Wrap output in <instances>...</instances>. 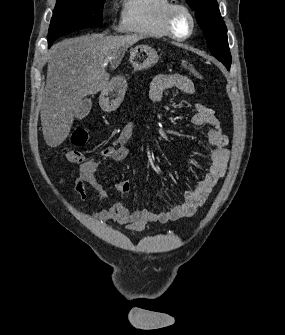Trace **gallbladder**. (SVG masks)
Returning a JSON list of instances; mask_svg holds the SVG:
<instances>
[{
    "mask_svg": "<svg viewBox=\"0 0 285 335\" xmlns=\"http://www.w3.org/2000/svg\"><path fill=\"white\" fill-rule=\"evenodd\" d=\"M91 108H92V102L90 98H85V100H82L81 104H79L78 110L75 114V118H79V120H82V118H86Z\"/></svg>",
    "mask_w": 285,
    "mask_h": 335,
    "instance_id": "obj_1",
    "label": "gallbladder"
}]
</instances>
